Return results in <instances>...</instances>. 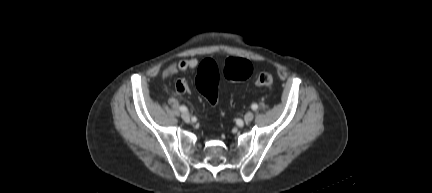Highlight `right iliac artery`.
<instances>
[{
  "label": "right iliac artery",
  "mask_w": 432,
  "mask_h": 193,
  "mask_svg": "<svg viewBox=\"0 0 432 193\" xmlns=\"http://www.w3.org/2000/svg\"><path fill=\"white\" fill-rule=\"evenodd\" d=\"M179 109L181 112H186L188 110L185 106H180Z\"/></svg>",
  "instance_id": "82829eb1"
}]
</instances>
